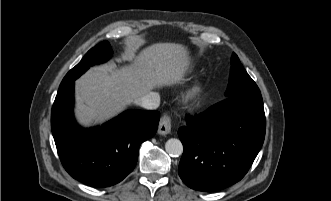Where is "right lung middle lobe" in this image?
<instances>
[{
  "label": "right lung middle lobe",
  "mask_w": 331,
  "mask_h": 201,
  "mask_svg": "<svg viewBox=\"0 0 331 201\" xmlns=\"http://www.w3.org/2000/svg\"><path fill=\"white\" fill-rule=\"evenodd\" d=\"M112 54V50L108 41H103L90 49L83 59L71 69L64 77L60 84V87L67 85L68 83L76 80L81 76L90 66L96 63H102L107 61Z\"/></svg>",
  "instance_id": "right-lung-middle-lobe-1"
}]
</instances>
